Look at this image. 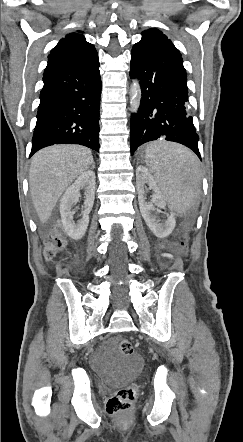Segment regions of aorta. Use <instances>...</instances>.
Masks as SVG:
<instances>
[{"mask_svg": "<svg viewBox=\"0 0 243 442\" xmlns=\"http://www.w3.org/2000/svg\"><path fill=\"white\" fill-rule=\"evenodd\" d=\"M141 86L137 79H133L130 86V106L132 112H137L141 102Z\"/></svg>", "mask_w": 243, "mask_h": 442, "instance_id": "aorta-1", "label": "aorta"}]
</instances>
